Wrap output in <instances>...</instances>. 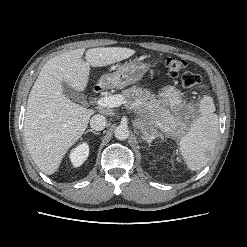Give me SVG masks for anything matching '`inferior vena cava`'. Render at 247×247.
Masks as SVG:
<instances>
[{
	"label": "inferior vena cava",
	"instance_id": "602c4592",
	"mask_svg": "<svg viewBox=\"0 0 247 247\" xmlns=\"http://www.w3.org/2000/svg\"><path fill=\"white\" fill-rule=\"evenodd\" d=\"M107 123L106 118L103 115L96 114L90 119V126L93 130L101 131L105 128Z\"/></svg>",
	"mask_w": 247,
	"mask_h": 247
}]
</instances>
